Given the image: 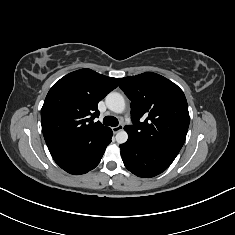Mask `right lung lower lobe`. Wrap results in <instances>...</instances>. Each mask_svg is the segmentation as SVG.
<instances>
[{
  "label": "right lung lower lobe",
  "mask_w": 235,
  "mask_h": 235,
  "mask_svg": "<svg viewBox=\"0 0 235 235\" xmlns=\"http://www.w3.org/2000/svg\"><path fill=\"white\" fill-rule=\"evenodd\" d=\"M112 130L96 142L78 147L73 152L54 158L55 162L70 174H84L94 169L100 162L106 147L110 144Z\"/></svg>",
  "instance_id": "98d812e1"
}]
</instances>
